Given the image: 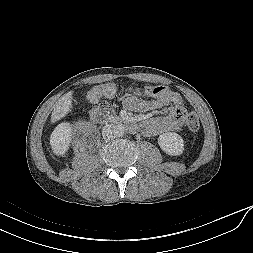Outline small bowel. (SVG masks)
I'll return each mask as SVG.
<instances>
[{"mask_svg":"<svg viewBox=\"0 0 253 253\" xmlns=\"http://www.w3.org/2000/svg\"><path fill=\"white\" fill-rule=\"evenodd\" d=\"M153 99L144 100L139 97L127 98L124 106L135 112H151L169 107V114L166 117H152L144 121L143 132L148 136H155L166 132L177 131L181 128L186 110L183 100L179 94L168 90L162 95L151 96ZM100 104L104 108L117 109V102L103 98Z\"/></svg>","mask_w":253,"mask_h":253,"instance_id":"1","label":"small bowel"}]
</instances>
